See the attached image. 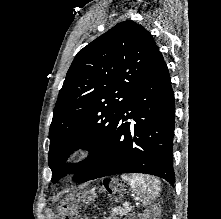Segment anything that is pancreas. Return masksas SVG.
Wrapping results in <instances>:
<instances>
[{"label":"pancreas","instance_id":"1","mask_svg":"<svg viewBox=\"0 0 221 219\" xmlns=\"http://www.w3.org/2000/svg\"><path fill=\"white\" fill-rule=\"evenodd\" d=\"M131 211L130 207H119V208H113L111 211V216L108 217L107 219H119V216H125Z\"/></svg>","mask_w":221,"mask_h":219}]
</instances>
